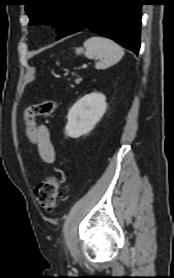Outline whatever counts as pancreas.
<instances>
[{"mask_svg": "<svg viewBox=\"0 0 174 278\" xmlns=\"http://www.w3.org/2000/svg\"><path fill=\"white\" fill-rule=\"evenodd\" d=\"M81 81V78H77L76 80H75V83H79Z\"/></svg>", "mask_w": 174, "mask_h": 278, "instance_id": "1", "label": "pancreas"}]
</instances>
